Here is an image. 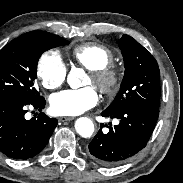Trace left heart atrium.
<instances>
[{"mask_svg": "<svg viewBox=\"0 0 183 183\" xmlns=\"http://www.w3.org/2000/svg\"><path fill=\"white\" fill-rule=\"evenodd\" d=\"M98 94L92 86L81 89H67L52 95L50 105L57 115H79L98 102Z\"/></svg>", "mask_w": 183, "mask_h": 183, "instance_id": "left-heart-atrium-1", "label": "left heart atrium"}]
</instances>
